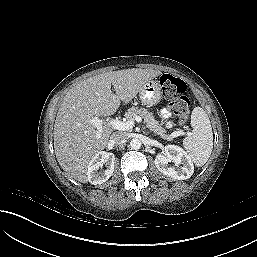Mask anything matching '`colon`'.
Segmentation results:
<instances>
[{"mask_svg":"<svg viewBox=\"0 0 257 257\" xmlns=\"http://www.w3.org/2000/svg\"><path fill=\"white\" fill-rule=\"evenodd\" d=\"M164 97L180 123H185L190 112V100L185 82L171 74H163L159 80Z\"/></svg>","mask_w":257,"mask_h":257,"instance_id":"5ec220e1","label":"colon"}]
</instances>
